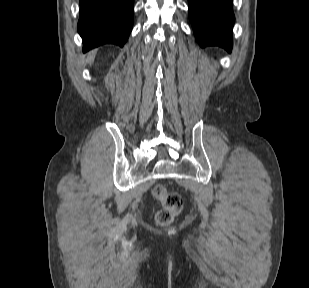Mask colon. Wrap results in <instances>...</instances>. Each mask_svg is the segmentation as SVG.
I'll list each match as a JSON object with an SVG mask.
<instances>
[{"instance_id": "5ec220e1", "label": "colon", "mask_w": 309, "mask_h": 288, "mask_svg": "<svg viewBox=\"0 0 309 288\" xmlns=\"http://www.w3.org/2000/svg\"><path fill=\"white\" fill-rule=\"evenodd\" d=\"M152 194L162 204V209L156 215V222L162 226L170 224L183 209L182 195L168 191L162 184H156L152 189Z\"/></svg>"}]
</instances>
